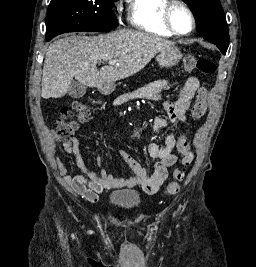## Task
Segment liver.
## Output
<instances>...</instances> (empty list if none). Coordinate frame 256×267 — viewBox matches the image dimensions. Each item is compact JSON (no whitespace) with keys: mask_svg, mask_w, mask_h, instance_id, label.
Returning a JSON list of instances; mask_svg holds the SVG:
<instances>
[{"mask_svg":"<svg viewBox=\"0 0 256 267\" xmlns=\"http://www.w3.org/2000/svg\"><path fill=\"white\" fill-rule=\"evenodd\" d=\"M174 42L135 30H117L104 36H70L50 44L41 82V96L62 98L68 92L73 78L98 88L109 82H118L140 72L164 46ZM107 62L97 70L98 62Z\"/></svg>","mask_w":256,"mask_h":267,"instance_id":"6515ba94","label":"liver"}]
</instances>
